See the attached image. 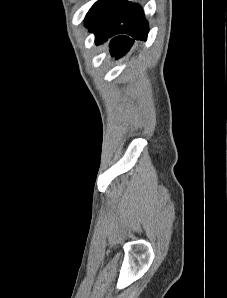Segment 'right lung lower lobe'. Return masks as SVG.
<instances>
[{"instance_id": "right-lung-lower-lobe-1", "label": "right lung lower lobe", "mask_w": 227, "mask_h": 298, "mask_svg": "<svg viewBox=\"0 0 227 298\" xmlns=\"http://www.w3.org/2000/svg\"><path fill=\"white\" fill-rule=\"evenodd\" d=\"M87 27L97 44L113 37L110 47L116 58L129 50L133 40H146L149 30L142 8L126 0H113Z\"/></svg>"}]
</instances>
